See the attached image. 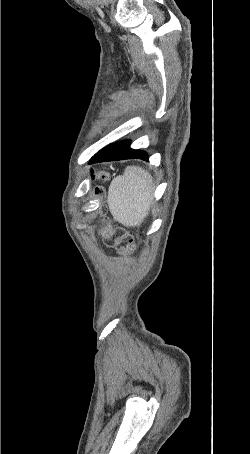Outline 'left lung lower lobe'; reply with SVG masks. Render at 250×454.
<instances>
[{
    "instance_id": "left-lung-lower-lobe-1",
    "label": "left lung lower lobe",
    "mask_w": 250,
    "mask_h": 454,
    "mask_svg": "<svg viewBox=\"0 0 250 454\" xmlns=\"http://www.w3.org/2000/svg\"><path fill=\"white\" fill-rule=\"evenodd\" d=\"M130 142L123 141L113 145H108L95 154L90 160V163L103 161H116L124 159H142L148 160L146 152L134 150L129 147Z\"/></svg>"
}]
</instances>
